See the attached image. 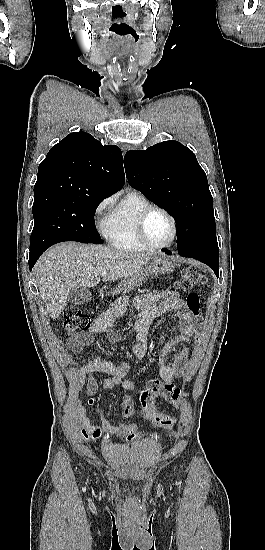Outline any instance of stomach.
<instances>
[{"label":"stomach","mask_w":265,"mask_h":550,"mask_svg":"<svg viewBox=\"0 0 265 550\" xmlns=\"http://www.w3.org/2000/svg\"><path fill=\"white\" fill-rule=\"evenodd\" d=\"M175 265L172 260L162 254L152 255L146 265L129 280V288L135 286L139 282L147 279L151 275L166 274L174 270Z\"/></svg>","instance_id":"0dacf381"}]
</instances>
